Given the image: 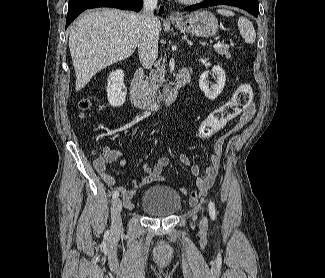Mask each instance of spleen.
Returning a JSON list of instances; mask_svg holds the SVG:
<instances>
[{
  "label": "spleen",
  "instance_id": "obj_1",
  "mask_svg": "<svg viewBox=\"0 0 325 278\" xmlns=\"http://www.w3.org/2000/svg\"><path fill=\"white\" fill-rule=\"evenodd\" d=\"M217 12L223 16H234L235 14L228 9H219ZM238 28L241 36L244 38L246 43L252 44L255 42L256 33L253 24L245 17L238 19Z\"/></svg>",
  "mask_w": 325,
  "mask_h": 278
}]
</instances>
